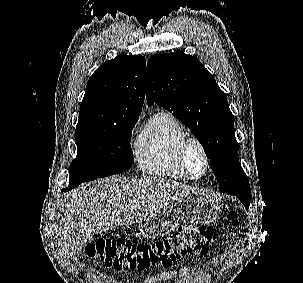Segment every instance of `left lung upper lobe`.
I'll use <instances>...</instances> for the list:
<instances>
[{
    "mask_svg": "<svg viewBox=\"0 0 303 283\" xmlns=\"http://www.w3.org/2000/svg\"><path fill=\"white\" fill-rule=\"evenodd\" d=\"M146 99L172 112L196 136L219 183L220 191L250 195L238 160L234 116L226 94L198 59L183 52L156 54L147 64Z\"/></svg>",
    "mask_w": 303,
    "mask_h": 283,
    "instance_id": "left-lung-upper-lobe-1",
    "label": "left lung upper lobe"
}]
</instances>
